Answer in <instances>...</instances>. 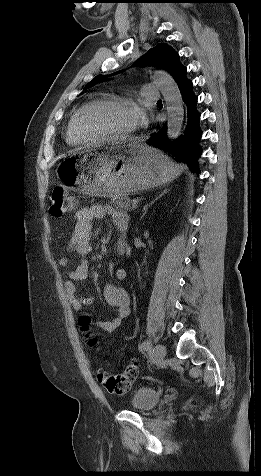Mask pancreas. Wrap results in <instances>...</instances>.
I'll use <instances>...</instances> for the list:
<instances>
[{
    "label": "pancreas",
    "mask_w": 261,
    "mask_h": 476,
    "mask_svg": "<svg viewBox=\"0 0 261 476\" xmlns=\"http://www.w3.org/2000/svg\"><path fill=\"white\" fill-rule=\"evenodd\" d=\"M112 202L115 205H117V207L121 210H124V211H130L131 210V207H130L131 200L127 197H118V198L113 199Z\"/></svg>",
    "instance_id": "pancreas-1"
}]
</instances>
